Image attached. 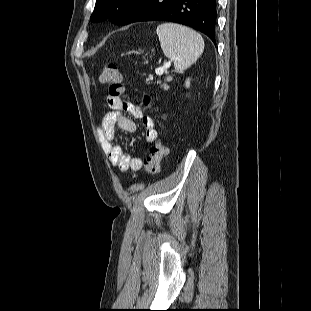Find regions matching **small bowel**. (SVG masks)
Masks as SVG:
<instances>
[{
  "label": "small bowel",
  "instance_id": "c3829d8e",
  "mask_svg": "<svg viewBox=\"0 0 311 311\" xmlns=\"http://www.w3.org/2000/svg\"><path fill=\"white\" fill-rule=\"evenodd\" d=\"M106 102L111 110L104 115L98 127L103 148L115 168L120 171H139L143 166L142 158L130 157L123 153L121 147L115 143L116 127L127 132H134L136 130L133 120L126 116L125 112H127L134 118L142 120L145 127V140L151 143L158 137L155 119L149 115H145L141 108L121 97L108 95Z\"/></svg>",
  "mask_w": 311,
  "mask_h": 311
}]
</instances>
